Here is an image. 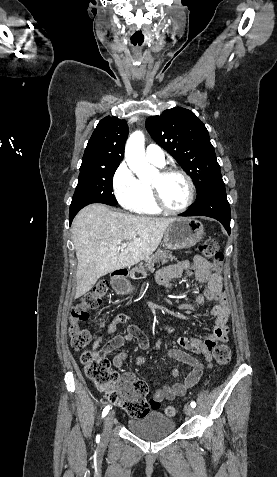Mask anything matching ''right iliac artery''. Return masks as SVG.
Masks as SVG:
<instances>
[{"instance_id":"82829eb1","label":"right iliac artery","mask_w":277,"mask_h":477,"mask_svg":"<svg viewBox=\"0 0 277 477\" xmlns=\"http://www.w3.org/2000/svg\"><path fill=\"white\" fill-rule=\"evenodd\" d=\"M110 410V406H106L102 412V417H105Z\"/></svg>"}]
</instances>
